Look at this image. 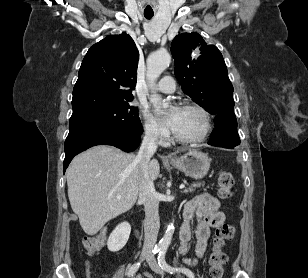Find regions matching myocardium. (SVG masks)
<instances>
[{
	"label": "myocardium",
	"mask_w": 308,
	"mask_h": 278,
	"mask_svg": "<svg viewBox=\"0 0 308 278\" xmlns=\"http://www.w3.org/2000/svg\"><path fill=\"white\" fill-rule=\"evenodd\" d=\"M182 109H190L197 111L204 120V128L203 131L198 136L195 137H184L173 132L174 139L184 144L199 143L204 141L208 137L212 129V118L210 113L204 107L196 103H185L183 104Z\"/></svg>",
	"instance_id": "obj_1"
}]
</instances>
